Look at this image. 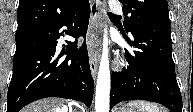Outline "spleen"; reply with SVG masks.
Segmentation results:
<instances>
[{"label": "spleen", "mask_w": 193, "mask_h": 112, "mask_svg": "<svg viewBox=\"0 0 193 112\" xmlns=\"http://www.w3.org/2000/svg\"><path fill=\"white\" fill-rule=\"evenodd\" d=\"M128 105L139 108L141 112H162V110L154 103L143 100L131 101Z\"/></svg>", "instance_id": "spleen-1"}]
</instances>
